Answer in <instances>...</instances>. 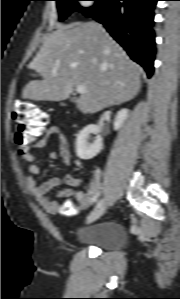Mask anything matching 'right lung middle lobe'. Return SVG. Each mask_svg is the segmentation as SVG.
I'll return each mask as SVG.
<instances>
[{
    "mask_svg": "<svg viewBox=\"0 0 180 299\" xmlns=\"http://www.w3.org/2000/svg\"><path fill=\"white\" fill-rule=\"evenodd\" d=\"M57 1V7L59 11V20H64L70 13L74 10L79 12H86L94 8L96 5H98L103 0H93L96 1L93 7L90 8H83L78 4V1L81 0H56Z\"/></svg>",
    "mask_w": 180,
    "mask_h": 299,
    "instance_id": "dd1d6c3e",
    "label": "right lung middle lobe"
}]
</instances>
